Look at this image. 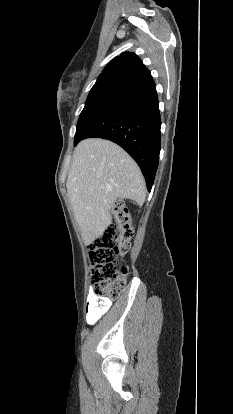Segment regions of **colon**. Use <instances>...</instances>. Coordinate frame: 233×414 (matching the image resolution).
Instances as JSON below:
<instances>
[{"mask_svg":"<svg viewBox=\"0 0 233 414\" xmlns=\"http://www.w3.org/2000/svg\"><path fill=\"white\" fill-rule=\"evenodd\" d=\"M112 212L114 220L91 246L90 257L94 294L116 300L123 291L128 273L126 267L119 269L116 262L129 250L133 229L128 224L127 209L122 202H116Z\"/></svg>","mask_w":233,"mask_h":414,"instance_id":"colon-1","label":"colon"}]
</instances>
